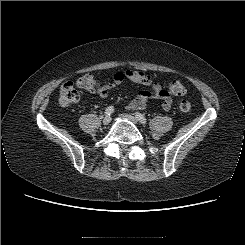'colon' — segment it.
Segmentation results:
<instances>
[{
    "label": "colon",
    "instance_id": "obj_1",
    "mask_svg": "<svg viewBox=\"0 0 245 245\" xmlns=\"http://www.w3.org/2000/svg\"><path fill=\"white\" fill-rule=\"evenodd\" d=\"M80 88L86 91H96L101 88V83L97 76L92 73H86L80 76L76 82H66L59 89V103L62 106H70L79 99V92L76 89ZM167 92L171 96H182L185 94L186 89L184 85L177 80H171L167 85ZM182 112H189L191 104L189 101L183 100L179 104Z\"/></svg>",
    "mask_w": 245,
    "mask_h": 245
}]
</instances>
